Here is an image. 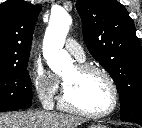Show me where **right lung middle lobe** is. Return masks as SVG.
Here are the masks:
<instances>
[{
	"label": "right lung middle lobe",
	"instance_id": "right-lung-middle-lobe-1",
	"mask_svg": "<svg viewBox=\"0 0 142 128\" xmlns=\"http://www.w3.org/2000/svg\"><path fill=\"white\" fill-rule=\"evenodd\" d=\"M32 104L27 64L0 69V109H26Z\"/></svg>",
	"mask_w": 142,
	"mask_h": 128
}]
</instances>
